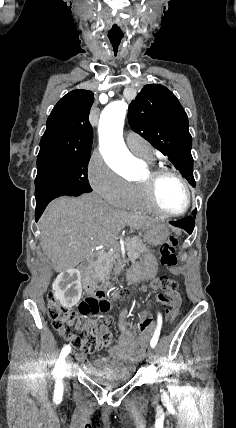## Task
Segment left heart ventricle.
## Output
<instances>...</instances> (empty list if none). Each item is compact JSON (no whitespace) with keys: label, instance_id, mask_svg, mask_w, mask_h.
<instances>
[{"label":"left heart ventricle","instance_id":"b2bd125f","mask_svg":"<svg viewBox=\"0 0 236 428\" xmlns=\"http://www.w3.org/2000/svg\"><path fill=\"white\" fill-rule=\"evenodd\" d=\"M145 176L146 174L141 179ZM158 194L163 206L171 211L181 210L186 203V192L183 185L170 176L160 181Z\"/></svg>","mask_w":236,"mask_h":428}]
</instances>
